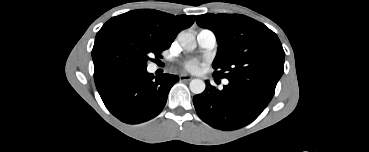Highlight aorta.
Wrapping results in <instances>:
<instances>
[{"label": "aorta", "mask_w": 369, "mask_h": 152, "mask_svg": "<svg viewBox=\"0 0 369 152\" xmlns=\"http://www.w3.org/2000/svg\"><path fill=\"white\" fill-rule=\"evenodd\" d=\"M177 39L181 47L187 51H191L197 46L195 36L190 32L181 31ZM189 88L193 94H201L204 92L206 85L201 79H193L190 81Z\"/></svg>", "instance_id": "aorta-1"}]
</instances>
